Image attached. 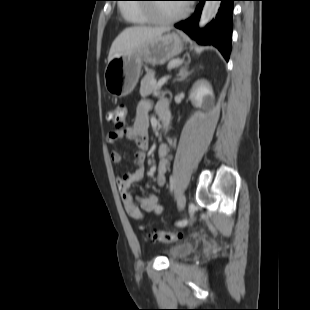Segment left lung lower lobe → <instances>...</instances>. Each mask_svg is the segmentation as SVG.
<instances>
[{
  "label": "left lung lower lobe",
  "mask_w": 310,
  "mask_h": 310,
  "mask_svg": "<svg viewBox=\"0 0 310 310\" xmlns=\"http://www.w3.org/2000/svg\"><path fill=\"white\" fill-rule=\"evenodd\" d=\"M199 5L195 13L187 20L175 24V27L183 30L198 43L213 45L219 49L226 61L229 60L232 40V11L233 1L236 0H217L221 1L220 9L215 20L206 26L205 29L198 31L197 24L200 18L203 4L207 0H197Z\"/></svg>",
  "instance_id": "obj_1"
}]
</instances>
